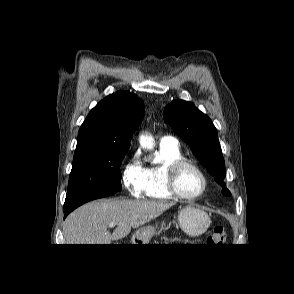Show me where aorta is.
Segmentation results:
<instances>
[{"label": "aorta", "mask_w": 294, "mask_h": 294, "mask_svg": "<svg viewBox=\"0 0 294 294\" xmlns=\"http://www.w3.org/2000/svg\"><path fill=\"white\" fill-rule=\"evenodd\" d=\"M139 142L142 148L152 150L154 148V139L147 135H140Z\"/></svg>", "instance_id": "1"}]
</instances>
